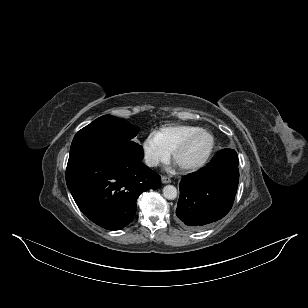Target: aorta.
Wrapping results in <instances>:
<instances>
[{"mask_svg": "<svg viewBox=\"0 0 308 308\" xmlns=\"http://www.w3.org/2000/svg\"><path fill=\"white\" fill-rule=\"evenodd\" d=\"M163 196L168 200H174L177 197V189L173 185H166L163 188Z\"/></svg>", "mask_w": 308, "mask_h": 308, "instance_id": "1", "label": "aorta"}]
</instances>
